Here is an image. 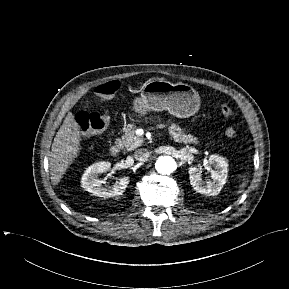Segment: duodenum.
I'll use <instances>...</instances> for the list:
<instances>
[{"label":"duodenum","mask_w":289,"mask_h":289,"mask_svg":"<svg viewBox=\"0 0 289 289\" xmlns=\"http://www.w3.org/2000/svg\"><path fill=\"white\" fill-rule=\"evenodd\" d=\"M121 148H122V145H121V142L120 141H116L110 148V153L113 155V156H116L120 153L121 151Z\"/></svg>","instance_id":"obj_1"}]
</instances>
